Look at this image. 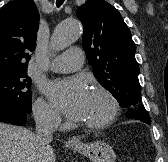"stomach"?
I'll list each match as a JSON object with an SVG mask.
<instances>
[{"instance_id":"obj_1","label":"stomach","mask_w":168,"mask_h":162,"mask_svg":"<svg viewBox=\"0 0 168 162\" xmlns=\"http://www.w3.org/2000/svg\"><path fill=\"white\" fill-rule=\"evenodd\" d=\"M74 149L88 157L92 162H115L116 160L112 147L104 141L75 146Z\"/></svg>"}]
</instances>
